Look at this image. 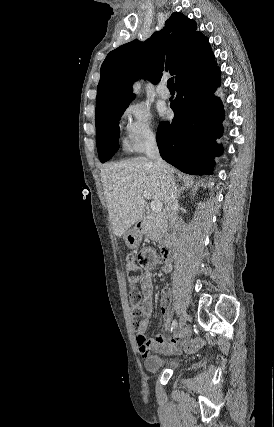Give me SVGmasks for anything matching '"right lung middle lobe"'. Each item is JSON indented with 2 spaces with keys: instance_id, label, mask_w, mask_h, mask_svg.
<instances>
[{
  "instance_id": "right-lung-middle-lobe-1",
  "label": "right lung middle lobe",
  "mask_w": 274,
  "mask_h": 427,
  "mask_svg": "<svg viewBox=\"0 0 274 427\" xmlns=\"http://www.w3.org/2000/svg\"><path fill=\"white\" fill-rule=\"evenodd\" d=\"M134 97L121 100L96 113V144L100 161L106 162L118 150V122Z\"/></svg>"
}]
</instances>
